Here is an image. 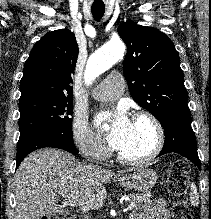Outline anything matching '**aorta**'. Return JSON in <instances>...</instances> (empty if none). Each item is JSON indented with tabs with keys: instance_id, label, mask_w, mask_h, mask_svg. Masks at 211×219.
Returning a JSON list of instances; mask_svg holds the SVG:
<instances>
[{
	"instance_id": "obj_1",
	"label": "aorta",
	"mask_w": 211,
	"mask_h": 219,
	"mask_svg": "<svg viewBox=\"0 0 211 219\" xmlns=\"http://www.w3.org/2000/svg\"><path fill=\"white\" fill-rule=\"evenodd\" d=\"M125 46L120 40H113L100 47L90 57L86 72L85 82L89 85L91 81L111 68L120 58L123 57Z\"/></svg>"
}]
</instances>
